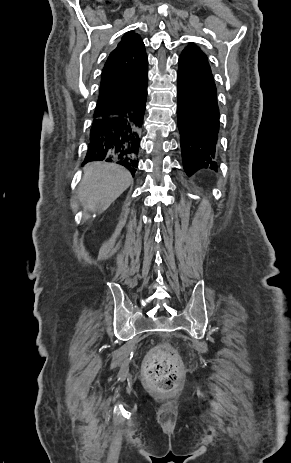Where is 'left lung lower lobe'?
Listing matches in <instances>:
<instances>
[{"instance_id":"1","label":"left lung lower lobe","mask_w":291,"mask_h":463,"mask_svg":"<svg viewBox=\"0 0 291 463\" xmlns=\"http://www.w3.org/2000/svg\"><path fill=\"white\" fill-rule=\"evenodd\" d=\"M178 129L187 175L217 169L219 108L214 80L178 69Z\"/></svg>"}]
</instances>
